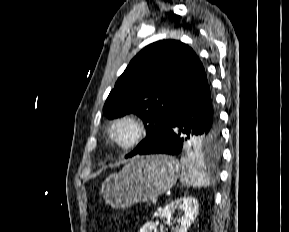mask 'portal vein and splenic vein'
Listing matches in <instances>:
<instances>
[{"mask_svg": "<svg viewBox=\"0 0 289 232\" xmlns=\"http://www.w3.org/2000/svg\"><path fill=\"white\" fill-rule=\"evenodd\" d=\"M152 204L156 205L157 204V199L152 200Z\"/></svg>", "mask_w": 289, "mask_h": 232, "instance_id": "18ae733b", "label": "portal vein and splenic vein"}]
</instances>
